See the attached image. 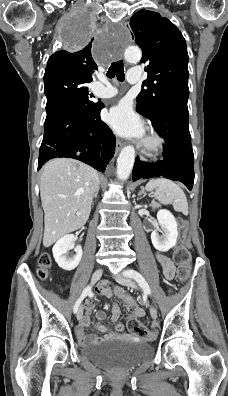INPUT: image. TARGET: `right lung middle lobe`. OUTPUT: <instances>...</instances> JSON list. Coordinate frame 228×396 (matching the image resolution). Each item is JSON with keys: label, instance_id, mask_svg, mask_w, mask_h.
<instances>
[{"label": "right lung middle lobe", "instance_id": "right-lung-middle-lobe-1", "mask_svg": "<svg viewBox=\"0 0 228 396\" xmlns=\"http://www.w3.org/2000/svg\"><path fill=\"white\" fill-rule=\"evenodd\" d=\"M76 21L80 32L72 39V43L80 46L91 38L95 28L92 23L83 22L81 18ZM90 82L73 75L44 77L47 117L71 108H82L87 111L94 108L96 103L91 100L93 94L88 92L87 87Z\"/></svg>", "mask_w": 228, "mask_h": 396}]
</instances>
